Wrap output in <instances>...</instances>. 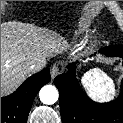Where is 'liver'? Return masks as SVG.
<instances>
[{
	"instance_id": "1",
	"label": "liver",
	"mask_w": 123,
	"mask_h": 123,
	"mask_svg": "<svg viewBox=\"0 0 123 123\" xmlns=\"http://www.w3.org/2000/svg\"><path fill=\"white\" fill-rule=\"evenodd\" d=\"M66 41L54 32L19 21L1 23V96L13 92L31 74V63L61 53Z\"/></svg>"
}]
</instances>
